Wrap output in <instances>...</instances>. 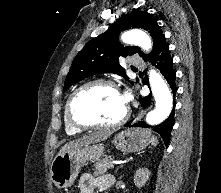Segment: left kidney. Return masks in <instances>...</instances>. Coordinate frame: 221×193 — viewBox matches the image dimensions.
I'll list each match as a JSON object with an SVG mask.
<instances>
[{"instance_id":"obj_1","label":"left kidney","mask_w":221,"mask_h":193,"mask_svg":"<svg viewBox=\"0 0 221 193\" xmlns=\"http://www.w3.org/2000/svg\"><path fill=\"white\" fill-rule=\"evenodd\" d=\"M150 171L147 168H139L134 175V184L136 187L141 188L148 181Z\"/></svg>"}]
</instances>
